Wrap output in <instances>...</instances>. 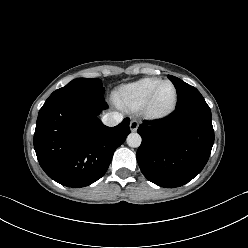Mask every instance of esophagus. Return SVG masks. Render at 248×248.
I'll list each match as a JSON object with an SVG mask.
<instances>
[{"mask_svg":"<svg viewBox=\"0 0 248 248\" xmlns=\"http://www.w3.org/2000/svg\"><path fill=\"white\" fill-rule=\"evenodd\" d=\"M138 126H139V124H138V122L136 120L133 119V120L130 121L129 127H130V130L132 132H135L138 129Z\"/></svg>","mask_w":248,"mask_h":248,"instance_id":"34e87169","label":"esophagus"}]
</instances>
